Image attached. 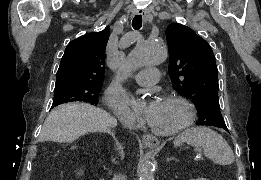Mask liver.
I'll return each instance as SVG.
<instances>
[{"label": "liver", "instance_id": "1", "mask_svg": "<svg viewBox=\"0 0 261 180\" xmlns=\"http://www.w3.org/2000/svg\"><path fill=\"white\" fill-rule=\"evenodd\" d=\"M116 120L108 112L90 104H63L52 110L43 128L42 138L47 142L72 144L81 136L93 132H110Z\"/></svg>", "mask_w": 261, "mask_h": 180}]
</instances>
